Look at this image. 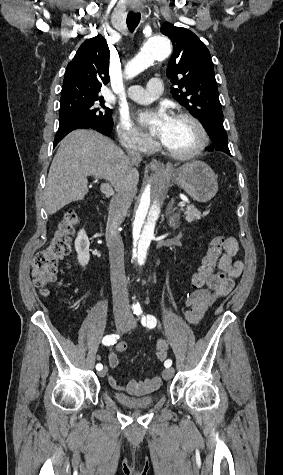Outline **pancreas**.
Returning a JSON list of instances; mask_svg holds the SVG:
<instances>
[{"label":"pancreas","instance_id":"cf45deb5","mask_svg":"<svg viewBox=\"0 0 283 475\" xmlns=\"http://www.w3.org/2000/svg\"><path fill=\"white\" fill-rule=\"evenodd\" d=\"M181 212H184L185 214V220L191 224V222H195V220H201V218H204V216H207L209 214V210L207 212H199L195 206H187V208H184V210H181Z\"/></svg>","mask_w":283,"mask_h":475}]
</instances>
